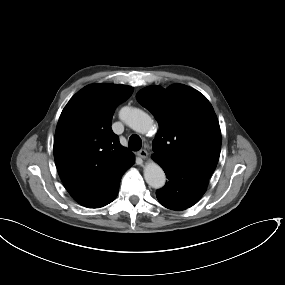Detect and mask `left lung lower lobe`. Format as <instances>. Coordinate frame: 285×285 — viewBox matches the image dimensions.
Wrapping results in <instances>:
<instances>
[{"label": "left lung lower lobe", "mask_w": 285, "mask_h": 285, "mask_svg": "<svg viewBox=\"0 0 285 285\" xmlns=\"http://www.w3.org/2000/svg\"><path fill=\"white\" fill-rule=\"evenodd\" d=\"M158 163L168 178L166 185L156 191L158 201L164 207L176 211L197 203L205 193L209 179L167 162Z\"/></svg>", "instance_id": "1"}]
</instances>
